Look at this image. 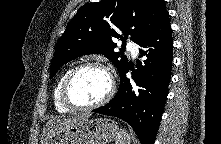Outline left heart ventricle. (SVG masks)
<instances>
[{"label": "left heart ventricle", "instance_id": "1", "mask_svg": "<svg viewBox=\"0 0 221 144\" xmlns=\"http://www.w3.org/2000/svg\"><path fill=\"white\" fill-rule=\"evenodd\" d=\"M109 89L107 74L98 68H86L79 72L70 85V98L79 105L99 101Z\"/></svg>", "mask_w": 221, "mask_h": 144}]
</instances>
